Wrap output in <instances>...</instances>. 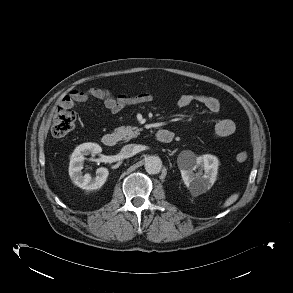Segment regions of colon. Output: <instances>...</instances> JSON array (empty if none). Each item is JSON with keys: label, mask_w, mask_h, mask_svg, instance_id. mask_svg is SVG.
Here are the masks:
<instances>
[{"label": "colon", "mask_w": 293, "mask_h": 293, "mask_svg": "<svg viewBox=\"0 0 293 293\" xmlns=\"http://www.w3.org/2000/svg\"><path fill=\"white\" fill-rule=\"evenodd\" d=\"M76 116L73 111L63 106H60L52 122L51 131L55 137L61 138L66 136L75 128ZM248 158V153L246 151L239 152L236 155V160L238 162H244Z\"/></svg>", "instance_id": "1"}]
</instances>
